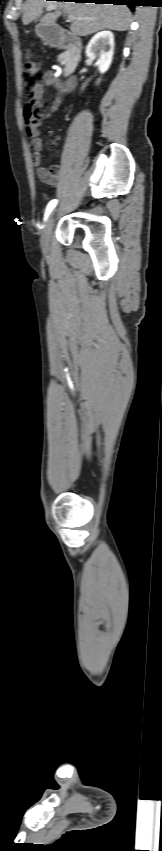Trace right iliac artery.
I'll return each mask as SVG.
<instances>
[{
	"mask_svg": "<svg viewBox=\"0 0 162 851\" xmlns=\"http://www.w3.org/2000/svg\"><path fill=\"white\" fill-rule=\"evenodd\" d=\"M56 204H57V200H56V199L51 200V201L49 202V204L47 205V208H46L45 220L47 219L48 215L51 213V211L53 210V208L56 206Z\"/></svg>",
	"mask_w": 162,
	"mask_h": 851,
	"instance_id": "right-iliac-artery-1",
	"label": "right iliac artery"
}]
</instances>
